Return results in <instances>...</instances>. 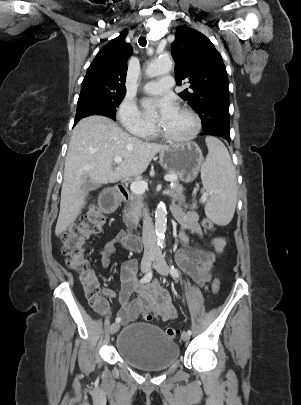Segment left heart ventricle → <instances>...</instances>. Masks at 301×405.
Instances as JSON below:
<instances>
[{
  "mask_svg": "<svg viewBox=\"0 0 301 405\" xmlns=\"http://www.w3.org/2000/svg\"><path fill=\"white\" fill-rule=\"evenodd\" d=\"M155 120L162 129L174 136H185L189 134L194 125L192 118L179 109L166 117L159 115Z\"/></svg>",
  "mask_w": 301,
  "mask_h": 405,
  "instance_id": "left-heart-ventricle-1",
  "label": "left heart ventricle"
}]
</instances>
